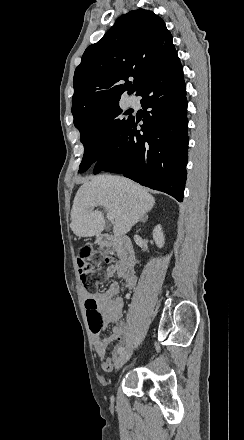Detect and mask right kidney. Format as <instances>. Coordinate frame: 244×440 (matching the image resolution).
<instances>
[{
    "label": "right kidney",
    "instance_id": "ca27d5eb",
    "mask_svg": "<svg viewBox=\"0 0 244 440\" xmlns=\"http://www.w3.org/2000/svg\"><path fill=\"white\" fill-rule=\"evenodd\" d=\"M153 240L155 244H157L158 248H163L165 238L160 224H158V226H155L153 230Z\"/></svg>",
    "mask_w": 244,
    "mask_h": 440
}]
</instances>
